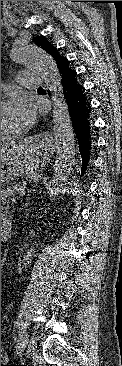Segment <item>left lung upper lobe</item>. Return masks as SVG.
Masks as SVG:
<instances>
[{"instance_id":"1","label":"left lung upper lobe","mask_w":122,"mask_h":366,"mask_svg":"<svg viewBox=\"0 0 122 366\" xmlns=\"http://www.w3.org/2000/svg\"><path fill=\"white\" fill-rule=\"evenodd\" d=\"M33 41L48 54H50L55 61H58L62 56L58 53L57 48H55L44 36L34 37Z\"/></svg>"}]
</instances>
